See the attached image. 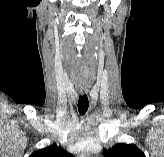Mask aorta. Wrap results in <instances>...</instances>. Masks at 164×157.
Returning a JSON list of instances; mask_svg holds the SVG:
<instances>
[{
  "instance_id": "1",
  "label": "aorta",
  "mask_w": 164,
  "mask_h": 157,
  "mask_svg": "<svg viewBox=\"0 0 164 157\" xmlns=\"http://www.w3.org/2000/svg\"><path fill=\"white\" fill-rule=\"evenodd\" d=\"M81 157H87V156H85V155H82Z\"/></svg>"
}]
</instances>
